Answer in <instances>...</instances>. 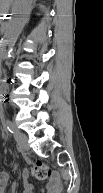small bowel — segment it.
<instances>
[{
    "label": "small bowel",
    "mask_w": 103,
    "mask_h": 193,
    "mask_svg": "<svg viewBox=\"0 0 103 193\" xmlns=\"http://www.w3.org/2000/svg\"><path fill=\"white\" fill-rule=\"evenodd\" d=\"M0 185L3 192L9 187L11 193H17L18 185L16 183L10 184V176L7 172L0 174ZM22 193H34V186L29 180V172L23 171L22 174ZM62 189V182L57 174H54L45 184L40 193H60Z\"/></svg>",
    "instance_id": "small-bowel-1"
}]
</instances>
